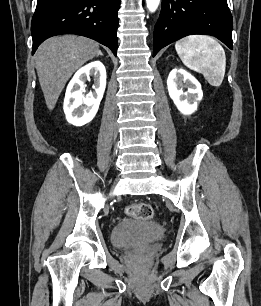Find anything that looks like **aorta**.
<instances>
[{"mask_svg": "<svg viewBox=\"0 0 261 306\" xmlns=\"http://www.w3.org/2000/svg\"><path fill=\"white\" fill-rule=\"evenodd\" d=\"M159 4L160 0H146V5L150 12H155Z\"/></svg>", "mask_w": 261, "mask_h": 306, "instance_id": "obj_1", "label": "aorta"}]
</instances>
